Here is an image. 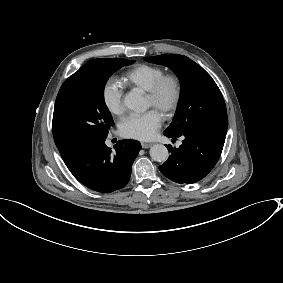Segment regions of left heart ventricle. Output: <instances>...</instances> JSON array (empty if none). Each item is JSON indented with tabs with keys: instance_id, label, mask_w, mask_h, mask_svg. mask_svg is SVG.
Returning <instances> with one entry per match:
<instances>
[{
	"instance_id": "b2bd125f",
	"label": "left heart ventricle",
	"mask_w": 283,
	"mask_h": 283,
	"mask_svg": "<svg viewBox=\"0 0 283 283\" xmlns=\"http://www.w3.org/2000/svg\"><path fill=\"white\" fill-rule=\"evenodd\" d=\"M171 95V88L170 86H166L161 98L157 101H152L148 95L146 94V103L147 107H152L154 109L159 110L162 112L164 105L168 102Z\"/></svg>"
}]
</instances>
